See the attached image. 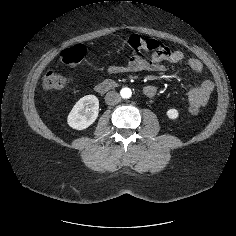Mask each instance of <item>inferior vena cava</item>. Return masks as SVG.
I'll return each mask as SVG.
<instances>
[{"instance_id": "obj_1", "label": "inferior vena cava", "mask_w": 236, "mask_h": 236, "mask_svg": "<svg viewBox=\"0 0 236 236\" xmlns=\"http://www.w3.org/2000/svg\"><path fill=\"white\" fill-rule=\"evenodd\" d=\"M121 101L120 95L115 91H110L105 96V102L108 105H116Z\"/></svg>"}]
</instances>
